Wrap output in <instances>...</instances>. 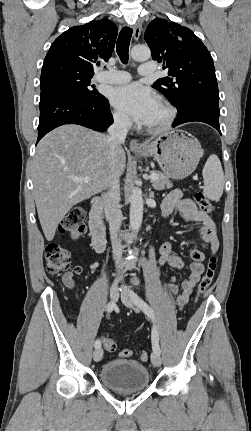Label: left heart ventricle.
Masks as SVG:
<instances>
[{
  "mask_svg": "<svg viewBox=\"0 0 251 431\" xmlns=\"http://www.w3.org/2000/svg\"><path fill=\"white\" fill-rule=\"evenodd\" d=\"M163 117H164V110L160 105H158L147 125H154L159 121H161Z\"/></svg>",
  "mask_w": 251,
  "mask_h": 431,
  "instance_id": "obj_1",
  "label": "left heart ventricle"
}]
</instances>
